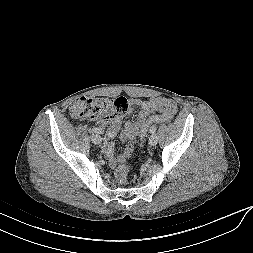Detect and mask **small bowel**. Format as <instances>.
<instances>
[{"instance_id": "1", "label": "small bowel", "mask_w": 253, "mask_h": 253, "mask_svg": "<svg viewBox=\"0 0 253 253\" xmlns=\"http://www.w3.org/2000/svg\"><path fill=\"white\" fill-rule=\"evenodd\" d=\"M129 113H133L134 108H138V113L132 120L124 125L121 134V140L125 142V146L121 153L114 155V138L122 126V118H118L112 126L107 130L103 143V153L108 157L109 165L114 168L118 164L125 162L133 152V145L136 137L142 128L153 118H171L177 111L176 103L165 97H156L149 100L131 99L128 103ZM165 122L161 120L157 123Z\"/></svg>"}]
</instances>
